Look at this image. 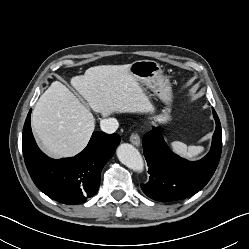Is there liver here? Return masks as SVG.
Instances as JSON below:
<instances>
[{
    "mask_svg": "<svg viewBox=\"0 0 249 249\" xmlns=\"http://www.w3.org/2000/svg\"><path fill=\"white\" fill-rule=\"evenodd\" d=\"M71 85L93 111L148 113L149 97L129 72L128 65H103L71 79ZM34 134L43 150L53 157H72L87 145L95 128L90 109L61 82L54 81L41 95L31 117Z\"/></svg>",
    "mask_w": 249,
    "mask_h": 249,
    "instance_id": "obj_1",
    "label": "liver"
}]
</instances>
